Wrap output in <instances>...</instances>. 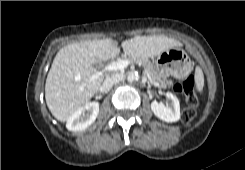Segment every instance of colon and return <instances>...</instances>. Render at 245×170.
I'll list each match as a JSON object with an SVG mask.
<instances>
[{
	"label": "colon",
	"mask_w": 245,
	"mask_h": 170,
	"mask_svg": "<svg viewBox=\"0 0 245 170\" xmlns=\"http://www.w3.org/2000/svg\"><path fill=\"white\" fill-rule=\"evenodd\" d=\"M183 69L184 71L190 69V62L186 59L184 61ZM174 89L177 93L185 96L182 119L184 122L188 123L193 119L198 106V97L195 93L194 81L191 77L184 75L176 81Z\"/></svg>",
	"instance_id": "colon-1"
}]
</instances>
